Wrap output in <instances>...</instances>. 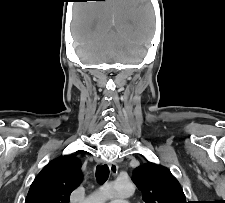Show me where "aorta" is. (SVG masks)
<instances>
[{"label": "aorta", "instance_id": "aorta-1", "mask_svg": "<svg viewBox=\"0 0 225 203\" xmlns=\"http://www.w3.org/2000/svg\"><path fill=\"white\" fill-rule=\"evenodd\" d=\"M133 193L134 185L131 181H113L91 194L86 203H105L109 199L128 197Z\"/></svg>", "mask_w": 225, "mask_h": 203}]
</instances>
